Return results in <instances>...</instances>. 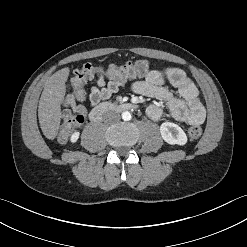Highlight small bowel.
<instances>
[{"instance_id": "small-bowel-1", "label": "small bowel", "mask_w": 247, "mask_h": 247, "mask_svg": "<svg viewBox=\"0 0 247 247\" xmlns=\"http://www.w3.org/2000/svg\"><path fill=\"white\" fill-rule=\"evenodd\" d=\"M166 82L177 89V96L164 86ZM127 85L126 80L107 81L105 74H100L96 84L91 87L90 104H99ZM129 85L135 93L164 103L165 108L158 103L146 106L145 113L152 120H159L165 110L171 118L188 125H200L205 120L206 112L199 98L198 89L182 69L167 67L162 70H151L144 78L134 80ZM64 106L71 108L74 113L80 112L83 116L86 114V109L77 105L74 96L70 93L65 96Z\"/></svg>"}]
</instances>
